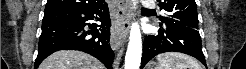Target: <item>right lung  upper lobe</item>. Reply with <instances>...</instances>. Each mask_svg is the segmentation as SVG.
Here are the masks:
<instances>
[{
	"mask_svg": "<svg viewBox=\"0 0 246 69\" xmlns=\"http://www.w3.org/2000/svg\"><path fill=\"white\" fill-rule=\"evenodd\" d=\"M106 2L104 0H48L45 7V12L54 9L68 8H89L102 6Z\"/></svg>",
	"mask_w": 246,
	"mask_h": 69,
	"instance_id": "cb5924a9",
	"label": "right lung upper lobe"
}]
</instances>
